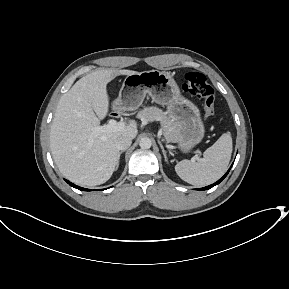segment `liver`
Wrapping results in <instances>:
<instances>
[{
	"label": "liver",
	"instance_id": "6515ba94",
	"mask_svg": "<svg viewBox=\"0 0 289 289\" xmlns=\"http://www.w3.org/2000/svg\"><path fill=\"white\" fill-rule=\"evenodd\" d=\"M135 73L97 70L79 79L60 98L50 130V149L60 172L70 181L87 186L108 181L118 162V138L137 136L134 121L118 131L93 134L109 111L107 84L118 75Z\"/></svg>",
	"mask_w": 289,
	"mask_h": 289
}]
</instances>
